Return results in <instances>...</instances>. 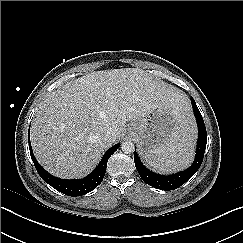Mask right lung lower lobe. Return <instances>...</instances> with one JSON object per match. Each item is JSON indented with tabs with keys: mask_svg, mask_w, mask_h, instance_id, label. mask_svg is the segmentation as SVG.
Wrapping results in <instances>:
<instances>
[{
	"mask_svg": "<svg viewBox=\"0 0 243 243\" xmlns=\"http://www.w3.org/2000/svg\"><path fill=\"white\" fill-rule=\"evenodd\" d=\"M30 133L28 132V142L31 158L35 165V168L40 177L52 186L54 189L68 195V196H81L94 190L103 180L106 172V166L110 156L119 148L120 144H117L104 154L97 168L87 177L83 179L65 180L54 177L45 171L40 164L37 162L33 155V151L30 143Z\"/></svg>",
	"mask_w": 243,
	"mask_h": 243,
	"instance_id": "obj_1",
	"label": "right lung lower lobe"
}]
</instances>
